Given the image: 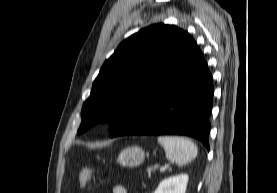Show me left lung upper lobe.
<instances>
[{
    "label": "left lung upper lobe",
    "instance_id": "obj_1",
    "mask_svg": "<svg viewBox=\"0 0 277 193\" xmlns=\"http://www.w3.org/2000/svg\"><path fill=\"white\" fill-rule=\"evenodd\" d=\"M194 39L173 25L154 24L124 40L105 61L82 107V133L110 122V136L196 48Z\"/></svg>",
    "mask_w": 277,
    "mask_h": 193
}]
</instances>
